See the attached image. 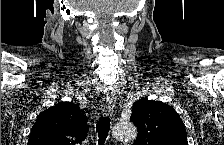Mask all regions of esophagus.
Here are the masks:
<instances>
[{
    "label": "esophagus",
    "instance_id": "1",
    "mask_svg": "<svg viewBox=\"0 0 224 145\" xmlns=\"http://www.w3.org/2000/svg\"><path fill=\"white\" fill-rule=\"evenodd\" d=\"M114 108H115V103L113 101V98L109 97L108 100H107L106 107H105V114L106 115H113Z\"/></svg>",
    "mask_w": 224,
    "mask_h": 145
}]
</instances>
